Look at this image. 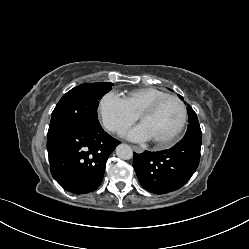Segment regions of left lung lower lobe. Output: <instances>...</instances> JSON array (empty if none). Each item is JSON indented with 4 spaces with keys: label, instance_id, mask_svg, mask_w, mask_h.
I'll use <instances>...</instances> for the list:
<instances>
[{
    "label": "left lung lower lobe",
    "instance_id": "0a47b994",
    "mask_svg": "<svg viewBox=\"0 0 249 249\" xmlns=\"http://www.w3.org/2000/svg\"><path fill=\"white\" fill-rule=\"evenodd\" d=\"M201 138H183L174 147L134 153L133 167L141 185L154 194L181 188L196 171L200 161Z\"/></svg>",
    "mask_w": 249,
    "mask_h": 249
}]
</instances>
